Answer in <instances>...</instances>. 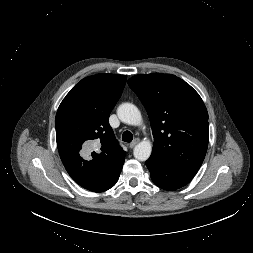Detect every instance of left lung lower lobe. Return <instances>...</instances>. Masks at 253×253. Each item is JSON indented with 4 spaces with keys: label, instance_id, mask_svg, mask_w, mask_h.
<instances>
[{
    "label": "left lung lower lobe",
    "instance_id": "obj_1",
    "mask_svg": "<svg viewBox=\"0 0 253 253\" xmlns=\"http://www.w3.org/2000/svg\"><path fill=\"white\" fill-rule=\"evenodd\" d=\"M150 171L152 181L165 190H176L188 184L194 175L170 168L150 157L145 162Z\"/></svg>",
    "mask_w": 253,
    "mask_h": 253
}]
</instances>
